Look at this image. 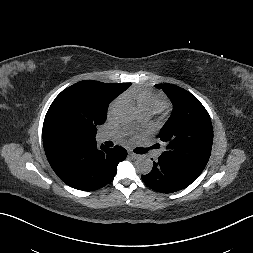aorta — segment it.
Masks as SVG:
<instances>
[{"label": "aorta", "instance_id": "1", "mask_svg": "<svg viewBox=\"0 0 253 253\" xmlns=\"http://www.w3.org/2000/svg\"><path fill=\"white\" fill-rule=\"evenodd\" d=\"M137 114L138 110L134 105L124 103L118 107L116 118L121 123H129L137 117ZM135 168L140 174L146 175L150 173L153 168L152 160L146 156H141L136 160Z\"/></svg>", "mask_w": 253, "mask_h": 253}]
</instances>
